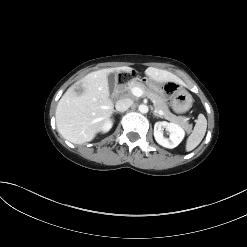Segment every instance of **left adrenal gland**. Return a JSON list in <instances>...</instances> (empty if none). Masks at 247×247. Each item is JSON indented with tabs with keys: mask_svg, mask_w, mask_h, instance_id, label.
<instances>
[{
	"mask_svg": "<svg viewBox=\"0 0 247 247\" xmlns=\"http://www.w3.org/2000/svg\"><path fill=\"white\" fill-rule=\"evenodd\" d=\"M153 115H155L156 117L162 118L156 111H153Z\"/></svg>",
	"mask_w": 247,
	"mask_h": 247,
	"instance_id": "a2214340",
	"label": "left adrenal gland"
}]
</instances>
